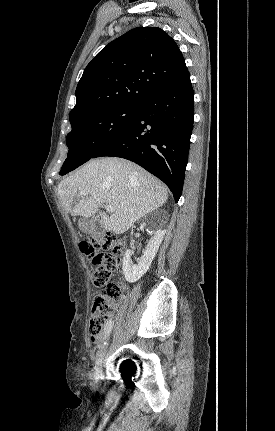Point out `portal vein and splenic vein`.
<instances>
[{
    "label": "portal vein and splenic vein",
    "instance_id": "portal-vein-and-splenic-vein-1",
    "mask_svg": "<svg viewBox=\"0 0 275 431\" xmlns=\"http://www.w3.org/2000/svg\"><path fill=\"white\" fill-rule=\"evenodd\" d=\"M87 191H81L80 195H87ZM107 212H114V207L112 205L106 204L104 205Z\"/></svg>",
    "mask_w": 275,
    "mask_h": 431
}]
</instances>
